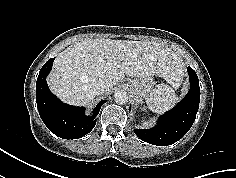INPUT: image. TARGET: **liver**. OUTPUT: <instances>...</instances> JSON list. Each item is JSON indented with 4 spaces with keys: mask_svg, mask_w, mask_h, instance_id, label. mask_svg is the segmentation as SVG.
Segmentation results:
<instances>
[{
    "mask_svg": "<svg viewBox=\"0 0 236 178\" xmlns=\"http://www.w3.org/2000/svg\"><path fill=\"white\" fill-rule=\"evenodd\" d=\"M182 69L178 56L161 43L85 39L56 57L48 84L63 102L82 106L99 95L96 93L98 81L106 82L108 89L125 76L158 75L172 82Z\"/></svg>",
    "mask_w": 236,
    "mask_h": 178,
    "instance_id": "1",
    "label": "liver"
}]
</instances>
